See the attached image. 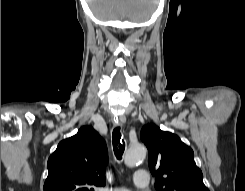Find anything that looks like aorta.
Returning a JSON list of instances; mask_svg holds the SVG:
<instances>
[{
    "mask_svg": "<svg viewBox=\"0 0 245 191\" xmlns=\"http://www.w3.org/2000/svg\"><path fill=\"white\" fill-rule=\"evenodd\" d=\"M146 148L138 143L131 145L125 153L124 162L128 167L135 166L146 157Z\"/></svg>",
    "mask_w": 245,
    "mask_h": 191,
    "instance_id": "1",
    "label": "aorta"
}]
</instances>
